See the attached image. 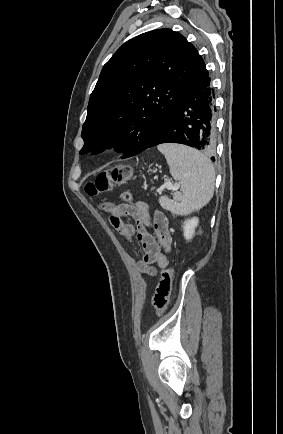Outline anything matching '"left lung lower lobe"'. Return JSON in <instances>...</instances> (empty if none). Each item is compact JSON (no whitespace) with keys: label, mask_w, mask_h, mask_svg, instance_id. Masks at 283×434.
<instances>
[{"label":"left lung lower lobe","mask_w":283,"mask_h":434,"mask_svg":"<svg viewBox=\"0 0 283 434\" xmlns=\"http://www.w3.org/2000/svg\"><path fill=\"white\" fill-rule=\"evenodd\" d=\"M215 112V94L208 73L178 99L147 148L162 143H180L212 153ZM211 160L215 161L214 157Z\"/></svg>","instance_id":"1"}]
</instances>
